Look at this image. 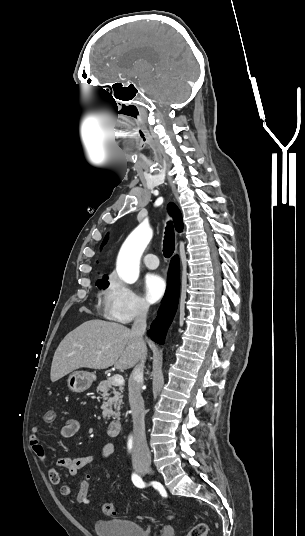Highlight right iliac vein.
I'll use <instances>...</instances> for the list:
<instances>
[{
	"label": "right iliac vein",
	"instance_id": "obj_1",
	"mask_svg": "<svg viewBox=\"0 0 305 536\" xmlns=\"http://www.w3.org/2000/svg\"><path fill=\"white\" fill-rule=\"evenodd\" d=\"M138 470H139L140 472H151V471H152V467L149 466V465H139Z\"/></svg>",
	"mask_w": 305,
	"mask_h": 536
}]
</instances>
